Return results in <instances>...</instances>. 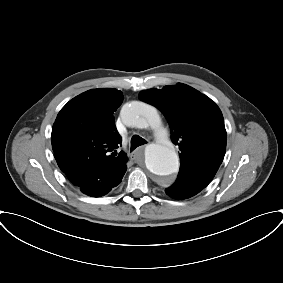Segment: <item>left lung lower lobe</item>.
Here are the masks:
<instances>
[{
    "label": "left lung lower lobe",
    "instance_id": "obj_1",
    "mask_svg": "<svg viewBox=\"0 0 283 283\" xmlns=\"http://www.w3.org/2000/svg\"><path fill=\"white\" fill-rule=\"evenodd\" d=\"M207 185L197 183L184 176H178L176 182L165 190L166 194L175 199H186L203 190Z\"/></svg>",
    "mask_w": 283,
    "mask_h": 283
}]
</instances>
